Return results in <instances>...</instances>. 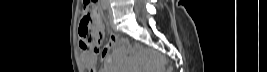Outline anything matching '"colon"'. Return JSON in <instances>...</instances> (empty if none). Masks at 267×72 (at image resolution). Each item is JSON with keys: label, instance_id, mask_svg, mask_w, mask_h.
<instances>
[{"label": "colon", "instance_id": "colon-1", "mask_svg": "<svg viewBox=\"0 0 267 72\" xmlns=\"http://www.w3.org/2000/svg\"><path fill=\"white\" fill-rule=\"evenodd\" d=\"M96 1L87 0L84 3L79 23L80 45L85 50H97L103 40V32L95 26L98 12L95 8Z\"/></svg>", "mask_w": 267, "mask_h": 72}]
</instances>
